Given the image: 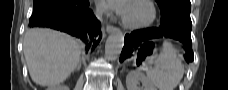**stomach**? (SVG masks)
<instances>
[{"instance_id":"stomach-1","label":"stomach","mask_w":228,"mask_h":90,"mask_svg":"<svg viewBox=\"0 0 228 90\" xmlns=\"http://www.w3.org/2000/svg\"><path fill=\"white\" fill-rule=\"evenodd\" d=\"M155 52L156 49L154 48V44L152 42H148L143 50L136 53L134 62H136L137 65L146 68L153 62Z\"/></svg>"}]
</instances>
